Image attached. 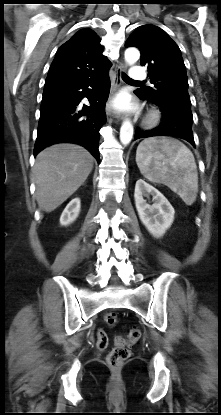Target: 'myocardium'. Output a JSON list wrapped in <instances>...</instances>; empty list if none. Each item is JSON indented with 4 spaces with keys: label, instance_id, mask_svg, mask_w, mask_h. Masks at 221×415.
<instances>
[{
    "label": "myocardium",
    "instance_id": "1",
    "mask_svg": "<svg viewBox=\"0 0 221 415\" xmlns=\"http://www.w3.org/2000/svg\"><path fill=\"white\" fill-rule=\"evenodd\" d=\"M160 118V112L158 110L153 109L147 114L144 124L146 127H154L159 123Z\"/></svg>",
    "mask_w": 221,
    "mask_h": 415
}]
</instances>
